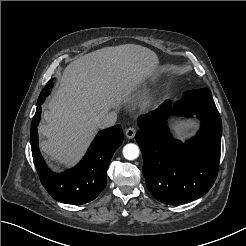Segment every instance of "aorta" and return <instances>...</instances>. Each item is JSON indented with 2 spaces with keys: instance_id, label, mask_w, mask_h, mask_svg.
Here are the masks:
<instances>
[{
  "instance_id": "aorta-1",
  "label": "aorta",
  "mask_w": 246,
  "mask_h": 246,
  "mask_svg": "<svg viewBox=\"0 0 246 246\" xmlns=\"http://www.w3.org/2000/svg\"><path fill=\"white\" fill-rule=\"evenodd\" d=\"M139 147L136 144L129 143L123 148V156L127 160H134L139 156Z\"/></svg>"
}]
</instances>
